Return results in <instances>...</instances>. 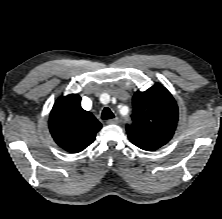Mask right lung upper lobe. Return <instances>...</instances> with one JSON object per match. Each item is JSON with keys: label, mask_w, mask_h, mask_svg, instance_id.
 I'll return each mask as SVG.
<instances>
[{"label": "right lung upper lobe", "mask_w": 222, "mask_h": 219, "mask_svg": "<svg viewBox=\"0 0 222 219\" xmlns=\"http://www.w3.org/2000/svg\"><path fill=\"white\" fill-rule=\"evenodd\" d=\"M81 97L70 94L55 102L49 116V129L55 142L70 153L89 146L101 129V123L80 106Z\"/></svg>", "instance_id": "obj_1"}]
</instances>
